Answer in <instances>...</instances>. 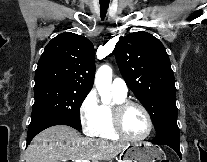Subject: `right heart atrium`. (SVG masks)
<instances>
[{
  "mask_svg": "<svg viewBox=\"0 0 207 162\" xmlns=\"http://www.w3.org/2000/svg\"><path fill=\"white\" fill-rule=\"evenodd\" d=\"M79 120L83 132L96 136L100 125V104L94 90L89 91L79 107Z\"/></svg>",
  "mask_w": 207,
  "mask_h": 162,
  "instance_id": "right-heart-atrium-1",
  "label": "right heart atrium"
}]
</instances>
